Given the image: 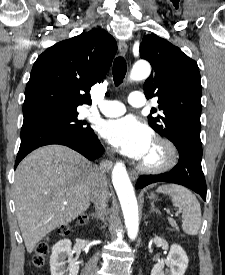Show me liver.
<instances>
[{"mask_svg": "<svg viewBox=\"0 0 225 275\" xmlns=\"http://www.w3.org/2000/svg\"><path fill=\"white\" fill-rule=\"evenodd\" d=\"M97 168L62 145L34 150L17 167L14 201L28 253L40 240L90 206Z\"/></svg>", "mask_w": 225, "mask_h": 275, "instance_id": "obj_1", "label": "liver"}]
</instances>
